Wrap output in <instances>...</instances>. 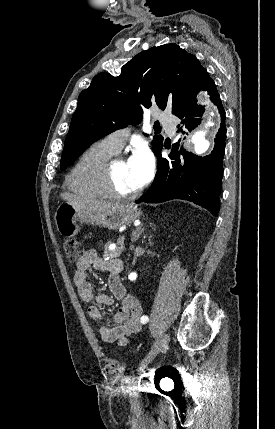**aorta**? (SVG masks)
<instances>
[{
	"instance_id": "aorta-1",
	"label": "aorta",
	"mask_w": 275,
	"mask_h": 429,
	"mask_svg": "<svg viewBox=\"0 0 275 429\" xmlns=\"http://www.w3.org/2000/svg\"><path fill=\"white\" fill-rule=\"evenodd\" d=\"M218 122V114L214 106H210L207 111L206 120L203 127L197 130L190 138V142L194 145L195 151L198 154L204 153L209 148L208 137Z\"/></svg>"
}]
</instances>
